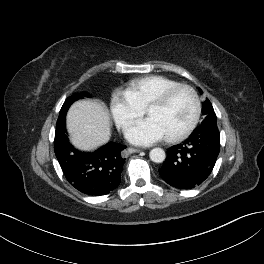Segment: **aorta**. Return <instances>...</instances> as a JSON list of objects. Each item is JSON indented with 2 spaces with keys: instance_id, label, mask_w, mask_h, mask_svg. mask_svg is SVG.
<instances>
[{
  "instance_id": "aorta-1",
  "label": "aorta",
  "mask_w": 264,
  "mask_h": 264,
  "mask_svg": "<svg viewBox=\"0 0 264 264\" xmlns=\"http://www.w3.org/2000/svg\"><path fill=\"white\" fill-rule=\"evenodd\" d=\"M150 159L155 163H162L166 158L165 151L162 148H153L149 153Z\"/></svg>"
}]
</instances>
